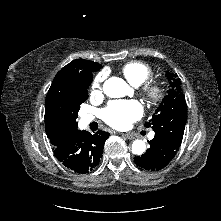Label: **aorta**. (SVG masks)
Masks as SVG:
<instances>
[{"label":"aorta","instance_id":"obj_1","mask_svg":"<svg viewBox=\"0 0 221 221\" xmlns=\"http://www.w3.org/2000/svg\"><path fill=\"white\" fill-rule=\"evenodd\" d=\"M129 90L128 84L121 78L111 77L105 81L103 91L105 95L111 98L124 97ZM146 145L142 140H135L132 143V152L135 155H140L145 152Z\"/></svg>","mask_w":221,"mask_h":221}]
</instances>
